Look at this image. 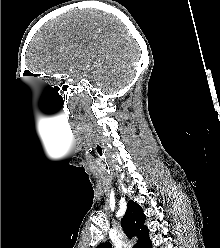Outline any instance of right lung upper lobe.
<instances>
[{
    "mask_svg": "<svg viewBox=\"0 0 220 248\" xmlns=\"http://www.w3.org/2000/svg\"><path fill=\"white\" fill-rule=\"evenodd\" d=\"M145 220L146 217L141 206L133 200L129 201L127 204V211L121 220V225L129 239L134 236L138 238V241L133 248H148L151 244L148 237L149 230L145 225ZM97 248H112V244L106 242L100 244Z\"/></svg>",
    "mask_w": 220,
    "mask_h": 248,
    "instance_id": "cb5924a9",
    "label": "right lung upper lobe"
}]
</instances>
